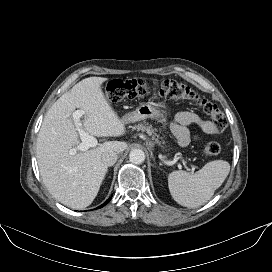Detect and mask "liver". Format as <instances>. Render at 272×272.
<instances>
[{
    "label": "liver",
    "instance_id": "liver-1",
    "mask_svg": "<svg viewBox=\"0 0 272 272\" xmlns=\"http://www.w3.org/2000/svg\"><path fill=\"white\" fill-rule=\"evenodd\" d=\"M104 77H89L64 93L47 111L37 138V161L43 183L53 197L65 206L83 209L98 194L107 172L102 161L106 151L122 153L126 142L108 141L87 151L70 155L79 145L72 114L84 111L83 130L98 137H119L125 123L110 106L102 91Z\"/></svg>",
    "mask_w": 272,
    "mask_h": 272
}]
</instances>
